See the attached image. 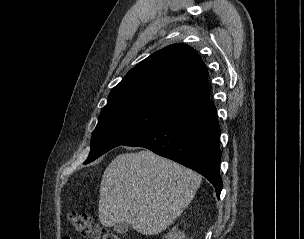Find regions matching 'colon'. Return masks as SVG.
<instances>
[{"instance_id":"colon-1","label":"colon","mask_w":304,"mask_h":239,"mask_svg":"<svg viewBox=\"0 0 304 239\" xmlns=\"http://www.w3.org/2000/svg\"><path fill=\"white\" fill-rule=\"evenodd\" d=\"M69 221L75 231L84 237L91 239H121L111 230L97 225L86 212H71Z\"/></svg>"}]
</instances>
